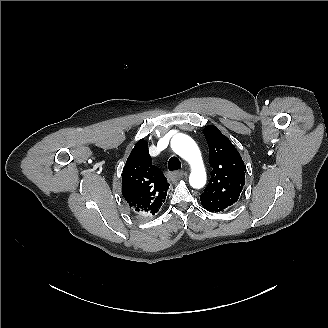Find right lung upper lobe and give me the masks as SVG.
<instances>
[{
    "label": "right lung upper lobe",
    "mask_w": 328,
    "mask_h": 328,
    "mask_svg": "<svg viewBox=\"0 0 328 328\" xmlns=\"http://www.w3.org/2000/svg\"><path fill=\"white\" fill-rule=\"evenodd\" d=\"M168 188L163 173L151 164L147 141L139 140L122 175V194L129 207L139 217L153 216L162 209Z\"/></svg>",
    "instance_id": "obj_1"
}]
</instances>
